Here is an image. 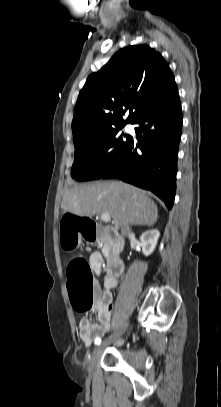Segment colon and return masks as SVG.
Instances as JSON below:
<instances>
[{"label": "colon", "mask_w": 221, "mask_h": 407, "mask_svg": "<svg viewBox=\"0 0 221 407\" xmlns=\"http://www.w3.org/2000/svg\"><path fill=\"white\" fill-rule=\"evenodd\" d=\"M60 236L65 249H72L77 239H107L108 232L105 222H97L94 216H74L68 211L61 216ZM67 289L73 308L81 313L89 311L94 304V279L90 265L83 258H75L67 268Z\"/></svg>", "instance_id": "obj_1"}]
</instances>
